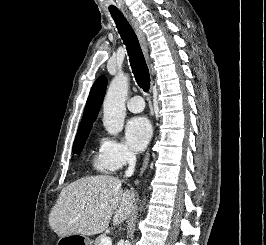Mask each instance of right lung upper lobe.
I'll return each instance as SVG.
<instances>
[{
    "mask_svg": "<svg viewBox=\"0 0 266 245\" xmlns=\"http://www.w3.org/2000/svg\"><path fill=\"white\" fill-rule=\"evenodd\" d=\"M106 87L107 78L105 76H100L91 88L85 106L84 115L79 126L93 123L96 120L104 98Z\"/></svg>",
    "mask_w": 266,
    "mask_h": 245,
    "instance_id": "1",
    "label": "right lung upper lobe"
}]
</instances>
